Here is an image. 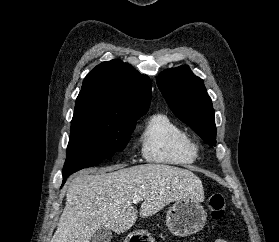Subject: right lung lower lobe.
<instances>
[{
  "instance_id": "98d812e1",
  "label": "right lung lower lobe",
  "mask_w": 279,
  "mask_h": 242,
  "mask_svg": "<svg viewBox=\"0 0 279 242\" xmlns=\"http://www.w3.org/2000/svg\"><path fill=\"white\" fill-rule=\"evenodd\" d=\"M66 179H67V178H64V179H63V183L66 181Z\"/></svg>"
}]
</instances>
